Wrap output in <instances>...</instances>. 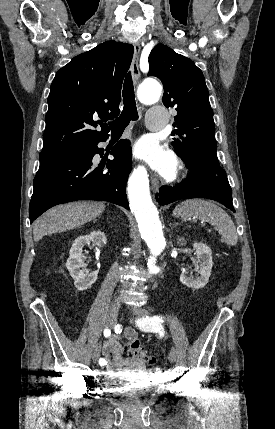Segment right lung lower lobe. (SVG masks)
<instances>
[{"mask_svg":"<svg viewBox=\"0 0 275 429\" xmlns=\"http://www.w3.org/2000/svg\"><path fill=\"white\" fill-rule=\"evenodd\" d=\"M107 137L88 142L60 156L41 161L34 179V191L29 206L32 223L49 208L75 200H104L129 210L126 182L131 171V152L127 140H120L112 149L113 160L94 168L97 147Z\"/></svg>","mask_w":275,"mask_h":429,"instance_id":"1","label":"right lung lower lobe"}]
</instances>
